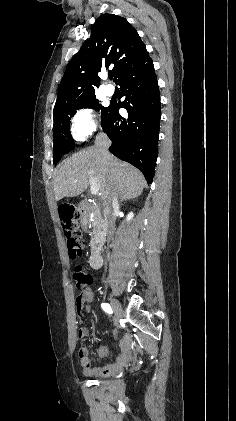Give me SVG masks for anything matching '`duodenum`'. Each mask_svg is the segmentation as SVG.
I'll list each match as a JSON object with an SVG mask.
<instances>
[{"label": "duodenum", "mask_w": 236, "mask_h": 421, "mask_svg": "<svg viewBox=\"0 0 236 421\" xmlns=\"http://www.w3.org/2000/svg\"><path fill=\"white\" fill-rule=\"evenodd\" d=\"M86 208H87L86 200L79 201L74 207V212L78 215L79 220L81 221L83 226L87 225L86 218H85ZM102 264H103V258H102L101 252L100 250L95 249L90 256V265L94 269H98L102 266ZM121 350H122V353L116 359V362L114 364L89 369L88 373L92 376H107V375L114 374L116 371H118L122 366L126 364V362L128 361L130 357V347L126 340H123L121 342Z\"/></svg>", "instance_id": "1"}]
</instances>
